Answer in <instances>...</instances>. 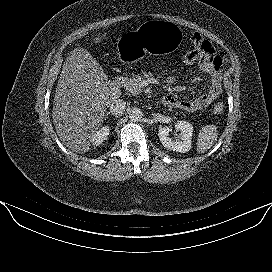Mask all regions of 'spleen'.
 Instances as JSON below:
<instances>
[{"instance_id":"obj_1","label":"spleen","mask_w":272,"mask_h":272,"mask_svg":"<svg viewBox=\"0 0 272 272\" xmlns=\"http://www.w3.org/2000/svg\"><path fill=\"white\" fill-rule=\"evenodd\" d=\"M218 138L217 127L215 125H206L202 127L197 139V152L205 153L209 150Z\"/></svg>"}]
</instances>
